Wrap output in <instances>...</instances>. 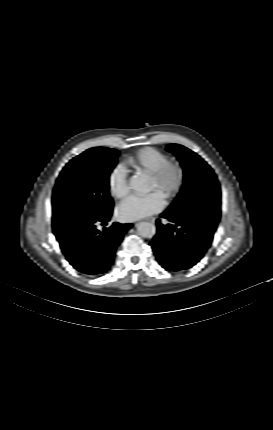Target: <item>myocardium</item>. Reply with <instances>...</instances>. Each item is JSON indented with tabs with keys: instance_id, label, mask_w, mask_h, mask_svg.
<instances>
[{
	"instance_id": "f54148a6",
	"label": "myocardium",
	"mask_w": 273,
	"mask_h": 430,
	"mask_svg": "<svg viewBox=\"0 0 273 430\" xmlns=\"http://www.w3.org/2000/svg\"><path fill=\"white\" fill-rule=\"evenodd\" d=\"M156 180L159 190L167 199L175 198L180 192L185 179L183 167L176 161L169 160L156 172L151 174Z\"/></svg>"
}]
</instances>
